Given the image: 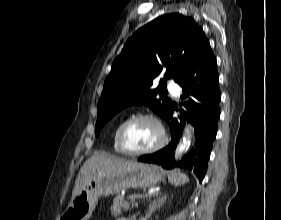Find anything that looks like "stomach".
<instances>
[{
  "instance_id": "obj_1",
  "label": "stomach",
  "mask_w": 281,
  "mask_h": 220,
  "mask_svg": "<svg viewBox=\"0 0 281 220\" xmlns=\"http://www.w3.org/2000/svg\"><path fill=\"white\" fill-rule=\"evenodd\" d=\"M163 171L152 164L134 162L128 166L97 171L69 203L61 220H88L100 196L128 188H149L162 178Z\"/></svg>"
}]
</instances>
